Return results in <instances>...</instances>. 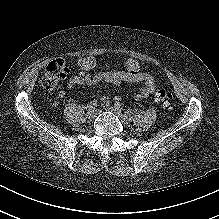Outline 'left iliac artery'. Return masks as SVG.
Masks as SVG:
<instances>
[{
    "label": "left iliac artery",
    "mask_w": 219,
    "mask_h": 219,
    "mask_svg": "<svg viewBox=\"0 0 219 219\" xmlns=\"http://www.w3.org/2000/svg\"><path fill=\"white\" fill-rule=\"evenodd\" d=\"M115 105L120 108L121 110L123 109V105L120 102H116Z\"/></svg>",
    "instance_id": "left-iliac-artery-1"
}]
</instances>
